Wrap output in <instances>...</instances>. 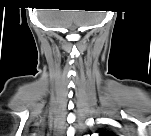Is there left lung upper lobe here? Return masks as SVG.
I'll return each mask as SVG.
<instances>
[{
  "mask_svg": "<svg viewBox=\"0 0 151 136\" xmlns=\"http://www.w3.org/2000/svg\"><path fill=\"white\" fill-rule=\"evenodd\" d=\"M105 135H112V132H103Z\"/></svg>",
  "mask_w": 151,
  "mask_h": 136,
  "instance_id": "obj_1",
  "label": "left lung upper lobe"
}]
</instances>
